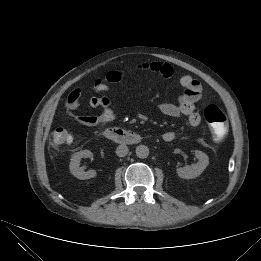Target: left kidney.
Listing matches in <instances>:
<instances>
[{"label": "left kidney", "mask_w": 261, "mask_h": 261, "mask_svg": "<svg viewBox=\"0 0 261 261\" xmlns=\"http://www.w3.org/2000/svg\"><path fill=\"white\" fill-rule=\"evenodd\" d=\"M195 156L198 158V162L196 164H192L189 167L177 168V174L180 178H196L206 169L209 164L208 156L199 150L195 151Z\"/></svg>", "instance_id": "left-kidney-1"}]
</instances>
